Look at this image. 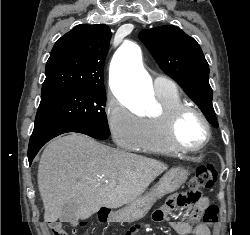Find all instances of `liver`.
<instances>
[{
  "label": "liver",
  "mask_w": 250,
  "mask_h": 235,
  "mask_svg": "<svg viewBox=\"0 0 250 235\" xmlns=\"http://www.w3.org/2000/svg\"><path fill=\"white\" fill-rule=\"evenodd\" d=\"M165 170L160 161L111 148L72 133L51 141L38 166V188L44 220L56 222L74 202L77 220L100 208H119L141 196Z\"/></svg>",
  "instance_id": "1"
}]
</instances>
